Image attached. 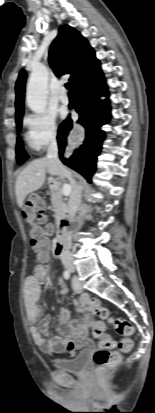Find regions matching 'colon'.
<instances>
[{
    "instance_id": "1",
    "label": "colon",
    "mask_w": 155,
    "mask_h": 413,
    "mask_svg": "<svg viewBox=\"0 0 155 413\" xmlns=\"http://www.w3.org/2000/svg\"><path fill=\"white\" fill-rule=\"evenodd\" d=\"M43 195L39 192H32L25 200L26 206L22 214L24 220L30 226L31 245L38 258L44 259L50 249V241L47 237L43 223L45 222L44 207L40 201ZM91 312L101 320L111 322L115 330L125 337L119 342L118 350L110 349V341L104 336L100 329H97L100 339V348L94 354V363L101 374L114 369L121 361L122 353L129 352L132 348V341L129 338L133 334L132 325L124 318H113L109 315L108 309L97 298H92L88 302Z\"/></svg>"
}]
</instances>
